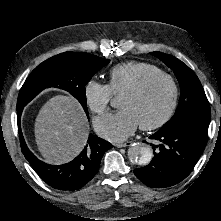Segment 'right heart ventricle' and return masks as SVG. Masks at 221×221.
<instances>
[{"instance_id": "right-heart-ventricle-1", "label": "right heart ventricle", "mask_w": 221, "mask_h": 221, "mask_svg": "<svg viewBox=\"0 0 221 221\" xmlns=\"http://www.w3.org/2000/svg\"><path fill=\"white\" fill-rule=\"evenodd\" d=\"M161 71L156 65L142 61H128L112 67L108 86L113 95L123 93L147 75Z\"/></svg>"}]
</instances>
